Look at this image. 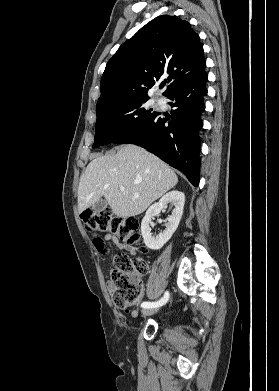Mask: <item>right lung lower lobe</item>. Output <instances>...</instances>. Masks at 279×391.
<instances>
[{
    "instance_id": "1",
    "label": "right lung lower lobe",
    "mask_w": 279,
    "mask_h": 391,
    "mask_svg": "<svg viewBox=\"0 0 279 391\" xmlns=\"http://www.w3.org/2000/svg\"><path fill=\"white\" fill-rule=\"evenodd\" d=\"M204 71L198 77L172 92L168 103L171 114L158 112L152 119L130 129L115 143H133L182 171L194 186L200 180L201 113L205 109L203 97L207 94Z\"/></svg>"
}]
</instances>
